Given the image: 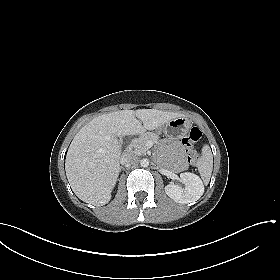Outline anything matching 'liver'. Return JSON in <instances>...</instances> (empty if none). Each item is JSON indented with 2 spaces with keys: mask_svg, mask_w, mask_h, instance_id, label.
Here are the masks:
<instances>
[{
  "mask_svg": "<svg viewBox=\"0 0 280 280\" xmlns=\"http://www.w3.org/2000/svg\"><path fill=\"white\" fill-rule=\"evenodd\" d=\"M182 116L156 109H138L120 110L91 120L75 135L67 151L65 171L73 192L86 203L107 204L120 172L118 137L158 129Z\"/></svg>",
  "mask_w": 280,
  "mask_h": 280,
  "instance_id": "6515ba94",
  "label": "liver"
}]
</instances>
